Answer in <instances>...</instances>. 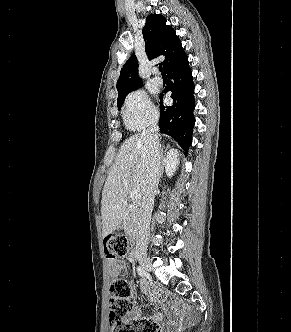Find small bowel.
Listing matches in <instances>:
<instances>
[{
    "mask_svg": "<svg viewBox=\"0 0 291 332\" xmlns=\"http://www.w3.org/2000/svg\"><path fill=\"white\" fill-rule=\"evenodd\" d=\"M109 265H110L109 274L112 278H116L119 275V273L125 268V265L121 260H115V259L110 260ZM141 286L144 291L149 293V296L153 302H156V303L160 302V293L158 291L155 290V291L149 292L148 285L145 281H142ZM175 312L179 317H182V312H181L180 308L175 307ZM137 317H138V313L135 312L132 319H137ZM153 319L157 322L161 319V315L155 314Z\"/></svg>",
    "mask_w": 291,
    "mask_h": 332,
    "instance_id": "c3829d8e",
    "label": "small bowel"
}]
</instances>
